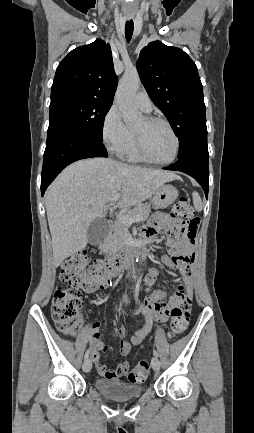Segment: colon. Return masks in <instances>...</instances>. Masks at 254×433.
Wrapping results in <instances>:
<instances>
[{
    "label": "colon",
    "mask_w": 254,
    "mask_h": 433,
    "mask_svg": "<svg viewBox=\"0 0 254 433\" xmlns=\"http://www.w3.org/2000/svg\"><path fill=\"white\" fill-rule=\"evenodd\" d=\"M166 220L178 225L179 228L169 232L170 240L177 241L184 237L190 245L196 241L200 219L187 197H181L172 207ZM109 271L103 260L90 264L87 250L79 251L69 256L61 265L60 279L67 284L58 287L52 300L51 315L57 329L65 335H74L80 327V310L82 293L94 292L100 284L108 281ZM191 300L179 297L178 302L170 309L171 320L168 336L176 338L188 327ZM149 362L141 361L129 374L130 382H143L149 374Z\"/></svg>",
    "instance_id": "1"
}]
</instances>
